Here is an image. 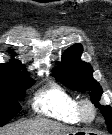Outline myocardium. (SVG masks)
Returning a JSON list of instances; mask_svg holds the SVG:
<instances>
[{"mask_svg": "<svg viewBox=\"0 0 112 135\" xmlns=\"http://www.w3.org/2000/svg\"><path fill=\"white\" fill-rule=\"evenodd\" d=\"M97 114V107L90 99L84 98L78 101V115L82 122H93L96 119Z\"/></svg>", "mask_w": 112, "mask_h": 135, "instance_id": "obj_1", "label": "myocardium"}]
</instances>
